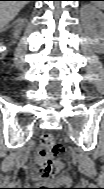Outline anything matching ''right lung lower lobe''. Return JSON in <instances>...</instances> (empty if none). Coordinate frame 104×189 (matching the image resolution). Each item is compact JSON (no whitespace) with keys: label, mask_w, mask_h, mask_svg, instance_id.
Here are the masks:
<instances>
[{"label":"right lung lower lobe","mask_w":104,"mask_h":189,"mask_svg":"<svg viewBox=\"0 0 104 189\" xmlns=\"http://www.w3.org/2000/svg\"><path fill=\"white\" fill-rule=\"evenodd\" d=\"M22 1H28V0H22ZM29 1H35V0H29Z\"/></svg>","instance_id":"1"}]
</instances>
